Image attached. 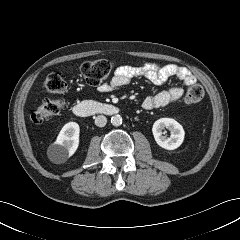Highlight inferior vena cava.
Returning <instances> with one entry per match:
<instances>
[{
  "instance_id": "inferior-vena-cava-1",
  "label": "inferior vena cava",
  "mask_w": 240,
  "mask_h": 240,
  "mask_svg": "<svg viewBox=\"0 0 240 240\" xmlns=\"http://www.w3.org/2000/svg\"><path fill=\"white\" fill-rule=\"evenodd\" d=\"M107 123V118L103 115H99L95 118V125L98 127H104Z\"/></svg>"
}]
</instances>
